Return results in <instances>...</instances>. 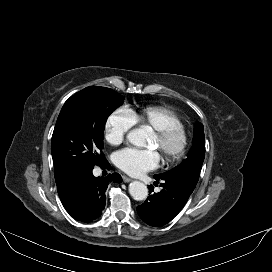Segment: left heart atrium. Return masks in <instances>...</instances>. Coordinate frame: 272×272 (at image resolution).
<instances>
[{
    "label": "left heart atrium",
    "mask_w": 272,
    "mask_h": 272,
    "mask_svg": "<svg viewBox=\"0 0 272 272\" xmlns=\"http://www.w3.org/2000/svg\"><path fill=\"white\" fill-rule=\"evenodd\" d=\"M160 160L154 149L126 148L115 154L116 165L131 175H140L155 168Z\"/></svg>",
    "instance_id": "obj_1"
}]
</instances>
